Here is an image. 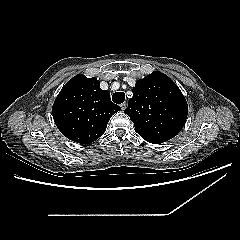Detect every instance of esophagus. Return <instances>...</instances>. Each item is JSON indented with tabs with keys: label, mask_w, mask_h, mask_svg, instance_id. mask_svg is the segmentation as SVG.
Instances as JSON below:
<instances>
[{
	"label": "esophagus",
	"mask_w": 240,
	"mask_h": 240,
	"mask_svg": "<svg viewBox=\"0 0 240 240\" xmlns=\"http://www.w3.org/2000/svg\"><path fill=\"white\" fill-rule=\"evenodd\" d=\"M121 109L124 111L127 107V103L123 102L122 104H120Z\"/></svg>",
	"instance_id": "34e87169"
}]
</instances>
